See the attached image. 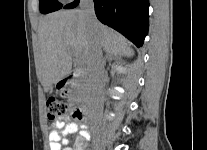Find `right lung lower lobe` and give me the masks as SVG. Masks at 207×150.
<instances>
[{
	"label": "right lung lower lobe",
	"instance_id": "1",
	"mask_svg": "<svg viewBox=\"0 0 207 150\" xmlns=\"http://www.w3.org/2000/svg\"><path fill=\"white\" fill-rule=\"evenodd\" d=\"M79 0L64 6L75 8ZM97 18L141 47L149 27V0H94Z\"/></svg>",
	"mask_w": 207,
	"mask_h": 150
}]
</instances>
